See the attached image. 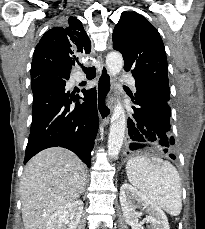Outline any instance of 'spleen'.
I'll list each match as a JSON object with an SVG mask.
<instances>
[{
  "instance_id": "spleen-1",
  "label": "spleen",
  "mask_w": 205,
  "mask_h": 229,
  "mask_svg": "<svg viewBox=\"0 0 205 229\" xmlns=\"http://www.w3.org/2000/svg\"><path fill=\"white\" fill-rule=\"evenodd\" d=\"M126 174L129 182L152 202L172 216L180 214L181 178L172 164L137 156L128 160Z\"/></svg>"
}]
</instances>
